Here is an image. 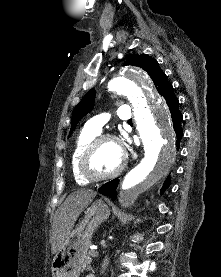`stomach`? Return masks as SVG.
Instances as JSON below:
<instances>
[{"label":"stomach","mask_w":221,"mask_h":277,"mask_svg":"<svg viewBox=\"0 0 221 277\" xmlns=\"http://www.w3.org/2000/svg\"><path fill=\"white\" fill-rule=\"evenodd\" d=\"M109 216L110 210L102 200L91 204L85 211L84 218L71 230L69 237L55 254L51 265L52 277H79L91 237Z\"/></svg>","instance_id":"0dacf381"}]
</instances>
